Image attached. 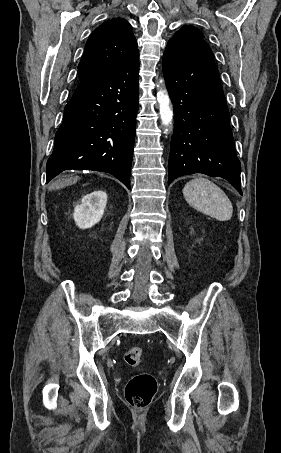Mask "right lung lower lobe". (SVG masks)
<instances>
[{
	"instance_id": "1",
	"label": "right lung lower lobe",
	"mask_w": 281,
	"mask_h": 453,
	"mask_svg": "<svg viewBox=\"0 0 281 453\" xmlns=\"http://www.w3.org/2000/svg\"><path fill=\"white\" fill-rule=\"evenodd\" d=\"M138 80L139 54L109 77L79 83L55 135L46 183L64 170H95L130 189Z\"/></svg>"
}]
</instances>
